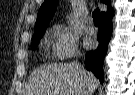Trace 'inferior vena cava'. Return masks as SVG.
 <instances>
[{"mask_svg": "<svg viewBox=\"0 0 135 95\" xmlns=\"http://www.w3.org/2000/svg\"><path fill=\"white\" fill-rule=\"evenodd\" d=\"M71 66L78 71L79 73L84 75V79L87 80V75L86 73L83 72L82 66L78 62H72ZM91 85L88 83L87 85V91L84 93V95H91Z\"/></svg>", "mask_w": 135, "mask_h": 95, "instance_id": "obj_1", "label": "inferior vena cava"}]
</instances>
